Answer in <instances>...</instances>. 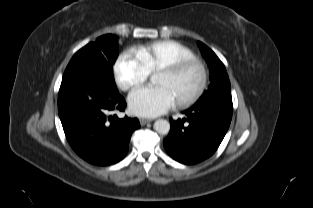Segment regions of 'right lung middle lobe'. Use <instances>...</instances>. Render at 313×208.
<instances>
[{
    "instance_id": "right-lung-middle-lobe-1",
    "label": "right lung middle lobe",
    "mask_w": 313,
    "mask_h": 208,
    "mask_svg": "<svg viewBox=\"0 0 313 208\" xmlns=\"http://www.w3.org/2000/svg\"><path fill=\"white\" fill-rule=\"evenodd\" d=\"M118 56L115 35H103L96 42H91L80 49L70 60L64 74L71 69L82 67L89 73L96 74L100 79L108 81L115 89L112 65Z\"/></svg>"
}]
</instances>
